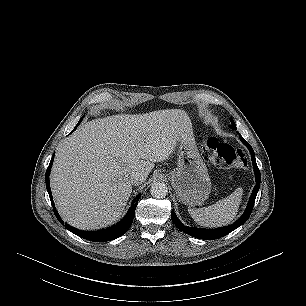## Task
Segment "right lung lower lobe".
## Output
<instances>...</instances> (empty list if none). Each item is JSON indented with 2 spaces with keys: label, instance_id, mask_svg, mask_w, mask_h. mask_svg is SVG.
<instances>
[{
  "label": "right lung lower lobe",
  "instance_id": "1",
  "mask_svg": "<svg viewBox=\"0 0 306 306\" xmlns=\"http://www.w3.org/2000/svg\"><path fill=\"white\" fill-rule=\"evenodd\" d=\"M79 125V124H78ZM74 128V130L77 128V126ZM73 130V131H74ZM53 159H54V155L52 156V159L50 161V164L47 168L46 171V187H47V191L49 193V197L51 200V204L54 210V214L57 217V219L61 222V224L64 226L65 228L68 229L70 232L74 233L75 235L84 238L86 240H90V241H94V242H105V241H110L113 239H116L120 236H122L123 234H125L127 232V230L130 228L133 219H134V214H135V209L136 206L138 204V200L140 198V195H138L132 203V206L129 208L127 214L124 216V218L117 223L116 225L104 229V230H99V231H81L77 228H74L68 224H64V222L61 220V217L59 216L55 206H54V202H53V198H52V194H51V189H50V184H49V175H50V171H51V166L53 163Z\"/></svg>",
  "mask_w": 306,
  "mask_h": 306
}]
</instances>
